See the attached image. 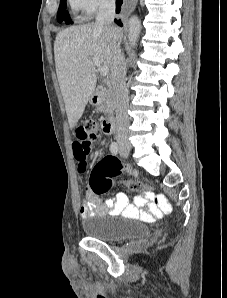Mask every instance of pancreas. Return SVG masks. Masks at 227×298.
<instances>
[{
  "instance_id": "obj_1",
  "label": "pancreas",
  "mask_w": 227,
  "mask_h": 298,
  "mask_svg": "<svg viewBox=\"0 0 227 298\" xmlns=\"http://www.w3.org/2000/svg\"><path fill=\"white\" fill-rule=\"evenodd\" d=\"M105 84L106 86H99L98 88L100 101L97 105V110L104 114H111L115 109V100L110 82L106 80Z\"/></svg>"
}]
</instances>
